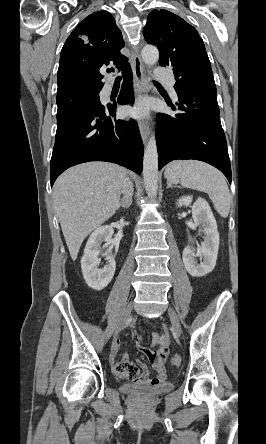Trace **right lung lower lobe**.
<instances>
[{
    "label": "right lung lower lobe",
    "instance_id": "right-lung-lower-lobe-1",
    "mask_svg": "<svg viewBox=\"0 0 266 444\" xmlns=\"http://www.w3.org/2000/svg\"><path fill=\"white\" fill-rule=\"evenodd\" d=\"M124 83L117 99L119 104L133 100L130 65L123 70ZM107 161L142 172L143 143L134 120L116 119V101L89 115H79L57 126L50 179L67 168L88 162Z\"/></svg>",
    "mask_w": 266,
    "mask_h": 444
}]
</instances>
